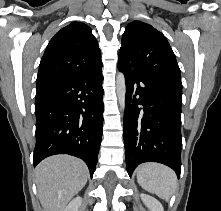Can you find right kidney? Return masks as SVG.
<instances>
[{
  "label": "right kidney",
  "mask_w": 221,
  "mask_h": 211,
  "mask_svg": "<svg viewBox=\"0 0 221 211\" xmlns=\"http://www.w3.org/2000/svg\"><path fill=\"white\" fill-rule=\"evenodd\" d=\"M81 204L82 198L80 196H77L67 205L64 211H79Z\"/></svg>",
  "instance_id": "right-kidney-1"
}]
</instances>
